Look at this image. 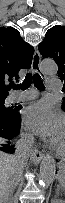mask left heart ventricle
I'll use <instances>...</instances> for the list:
<instances>
[{
	"mask_svg": "<svg viewBox=\"0 0 65 203\" xmlns=\"http://www.w3.org/2000/svg\"><path fill=\"white\" fill-rule=\"evenodd\" d=\"M54 144L59 148L65 147V132H63L61 137Z\"/></svg>",
	"mask_w": 65,
	"mask_h": 203,
	"instance_id": "b2bd125f",
	"label": "left heart ventricle"
}]
</instances>
